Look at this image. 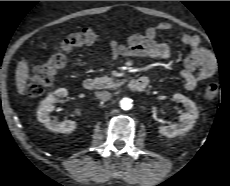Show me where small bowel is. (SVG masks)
<instances>
[{"label":"small bowel","instance_id":"1","mask_svg":"<svg viewBox=\"0 0 230 186\" xmlns=\"http://www.w3.org/2000/svg\"><path fill=\"white\" fill-rule=\"evenodd\" d=\"M173 29L170 23L161 22L146 28L144 34L130 35L124 43L112 38L109 41L112 58L131 56L167 61L171 57V48L167 43L157 41V37L161 32H170ZM179 41L189 47L180 77L185 88L193 90L199 83L215 74L217 60L209 50L200 45L197 36L184 33L180 35Z\"/></svg>","mask_w":230,"mask_h":186}]
</instances>
